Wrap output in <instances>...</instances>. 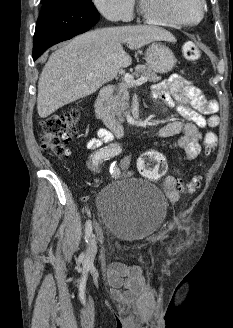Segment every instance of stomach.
Returning a JSON list of instances; mask_svg holds the SVG:
<instances>
[{
	"label": "stomach",
	"mask_w": 233,
	"mask_h": 328,
	"mask_svg": "<svg viewBox=\"0 0 233 328\" xmlns=\"http://www.w3.org/2000/svg\"><path fill=\"white\" fill-rule=\"evenodd\" d=\"M147 65L157 73L171 71L177 62L174 53L169 47L160 42H152L145 52Z\"/></svg>",
	"instance_id": "stomach-1"
}]
</instances>
